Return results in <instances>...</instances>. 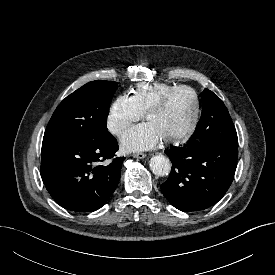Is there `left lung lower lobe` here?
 I'll return each mask as SVG.
<instances>
[{
	"mask_svg": "<svg viewBox=\"0 0 275 275\" xmlns=\"http://www.w3.org/2000/svg\"><path fill=\"white\" fill-rule=\"evenodd\" d=\"M238 146L195 145L166 151L172 170L161 191L175 208L205 210L225 195L237 167Z\"/></svg>",
	"mask_w": 275,
	"mask_h": 275,
	"instance_id": "left-lung-lower-lobe-1",
	"label": "left lung lower lobe"
}]
</instances>
